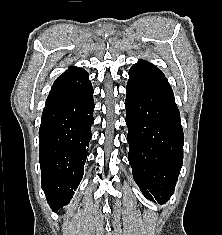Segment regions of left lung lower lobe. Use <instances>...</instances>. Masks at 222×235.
Listing matches in <instances>:
<instances>
[{
    "label": "left lung lower lobe",
    "mask_w": 222,
    "mask_h": 235,
    "mask_svg": "<svg viewBox=\"0 0 222 235\" xmlns=\"http://www.w3.org/2000/svg\"><path fill=\"white\" fill-rule=\"evenodd\" d=\"M128 74V160L144 196L164 204L174 193L183 164L180 113L171 86L157 67L139 60Z\"/></svg>",
    "instance_id": "left-lung-lower-lobe-1"
}]
</instances>
